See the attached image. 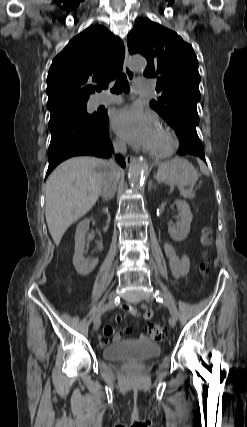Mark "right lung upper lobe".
I'll use <instances>...</instances> for the list:
<instances>
[{
	"mask_svg": "<svg viewBox=\"0 0 247 427\" xmlns=\"http://www.w3.org/2000/svg\"><path fill=\"white\" fill-rule=\"evenodd\" d=\"M125 48L107 28L95 25L74 37L55 57L47 77L51 114L87 105L95 88H107L122 70Z\"/></svg>",
	"mask_w": 247,
	"mask_h": 427,
	"instance_id": "1",
	"label": "right lung upper lobe"
}]
</instances>
